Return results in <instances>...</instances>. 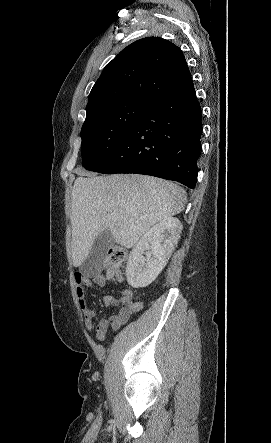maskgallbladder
Listing matches in <instances>:
<instances>
[{
    "label": "gallbladder",
    "instance_id": "obj_1",
    "mask_svg": "<svg viewBox=\"0 0 271 443\" xmlns=\"http://www.w3.org/2000/svg\"><path fill=\"white\" fill-rule=\"evenodd\" d=\"M115 239L108 229L101 231L96 237L91 251L87 252L88 260H80V271L91 276L92 273H102L103 269H108V260L111 259V252L108 249L114 247Z\"/></svg>",
    "mask_w": 271,
    "mask_h": 443
}]
</instances>
